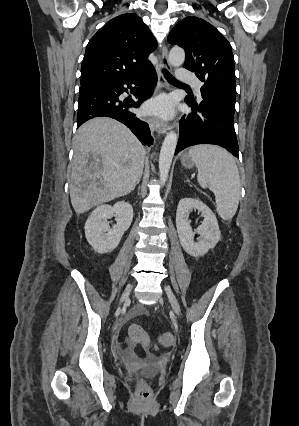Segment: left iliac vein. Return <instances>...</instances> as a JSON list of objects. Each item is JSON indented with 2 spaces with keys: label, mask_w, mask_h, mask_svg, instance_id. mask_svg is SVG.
<instances>
[{
  "label": "left iliac vein",
  "mask_w": 299,
  "mask_h": 426,
  "mask_svg": "<svg viewBox=\"0 0 299 426\" xmlns=\"http://www.w3.org/2000/svg\"><path fill=\"white\" fill-rule=\"evenodd\" d=\"M164 289H165V292L168 296V299L170 301V304L172 306L173 311L175 312V314L177 316H179L180 315V307H179V304H178V301H177L175 295L173 294V292L171 291V289L169 287L165 286Z\"/></svg>",
  "instance_id": "1"
}]
</instances>
